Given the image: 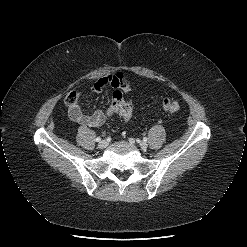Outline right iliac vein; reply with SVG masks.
<instances>
[{
    "label": "right iliac vein",
    "instance_id": "1",
    "mask_svg": "<svg viewBox=\"0 0 247 247\" xmlns=\"http://www.w3.org/2000/svg\"><path fill=\"white\" fill-rule=\"evenodd\" d=\"M107 146H108V142H107L106 140H102V141H100L99 144H98V147H99L100 149H104V148H106Z\"/></svg>",
    "mask_w": 247,
    "mask_h": 247
}]
</instances>
